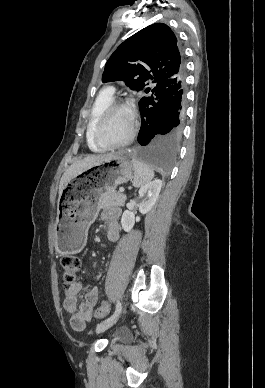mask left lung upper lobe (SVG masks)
<instances>
[{
    "label": "left lung upper lobe",
    "mask_w": 265,
    "mask_h": 388,
    "mask_svg": "<svg viewBox=\"0 0 265 388\" xmlns=\"http://www.w3.org/2000/svg\"><path fill=\"white\" fill-rule=\"evenodd\" d=\"M182 72L185 65L175 34L166 24L155 23L120 44L105 64L102 82L122 80L133 90L149 93V83L158 85Z\"/></svg>",
    "instance_id": "left-lung-upper-lobe-1"
}]
</instances>
